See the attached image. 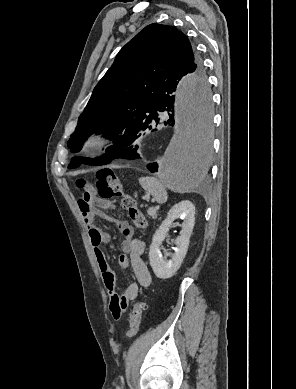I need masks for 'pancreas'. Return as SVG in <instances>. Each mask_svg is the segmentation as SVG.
<instances>
[{"mask_svg": "<svg viewBox=\"0 0 296 389\" xmlns=\"http://www.w3.org/2000/svg\"><path fill=\"white\" fill-rule=\"evenodd\" d=\"M149 210L155 211V214H154L153 216L156 215V208H150ZM149 210H148V211H149Z\"/></svg>", "mask_w": 296, "mask_h": 389, "instance_id": "cf45deb5", "label": "pancreas"}]
</instances>
